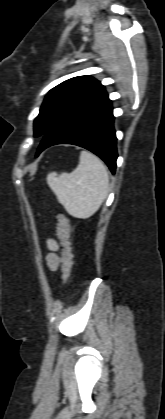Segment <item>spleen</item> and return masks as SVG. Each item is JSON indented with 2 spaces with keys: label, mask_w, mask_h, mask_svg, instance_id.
Masks as SVG:
<instances>
[{
  "label": "spleen",
  "mask_w": 165,
  "mask_h": 419,
  "mask_svg": "<svg viewBox=\"0 0 165 419\" xmlns=\"http://www.w3.org/2000/svg\"><path fill=\"white\" fill-rule=\"evenodd\" d=\"M47 184L58 201L73 217H91L105 200L109 189L106 167L94 154L82 151L77 168L71 173L47 175Z\"/></svg>",
  "instance_id": "1"
}]
</instances>
